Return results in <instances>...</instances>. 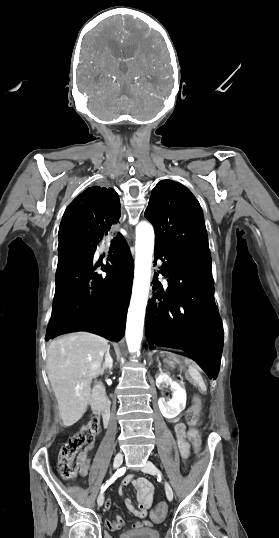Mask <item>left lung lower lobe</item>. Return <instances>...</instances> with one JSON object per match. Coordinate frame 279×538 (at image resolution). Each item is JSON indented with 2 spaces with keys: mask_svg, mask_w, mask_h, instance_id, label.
Returning <instances> with one entry per match:
<instances>
[{
  "mask_svg": "<svg viewBox=\"0 0 279 538\" xmlns=\"http://www.w3.org/2000/svg\"><path fill=\"white\" fill-rule=\"evenodd\" d=\"M155 261L168 280H153L158 290L147 306L146 338L150 346L182 349L200 363L210 379L220 368L223 326L214 300L211 257L183 256L155 246Z\"/></svg>",
  "mask_w": 279,
  "mask_h": 538,
  "instance_id": "left-lung-lower-lobe-1",
  "label": "left lung lower lobe"
}]
</instances>
